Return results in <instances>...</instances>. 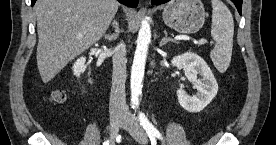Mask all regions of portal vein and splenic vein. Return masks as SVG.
Here are the masks:
<instances>
[{
	"label": "portal vein and splenic vein",
	"mask_w": 276,
	"mask_h": 145,
	"mask_svg": "<svg viewBox=\"0 0 276 145\" xmlns=\"http://www.w3.org/2000/svg\"><path fill=\"white\" fill-rule=\"evenodd\" d=\"M208 43V41L206 40V39H200L199 41H198V44L199 45H205V44H207ZM210 44H212V42H210Z\"/></svg>",
	"instance_id": "obj_1"
}]
</instances>
